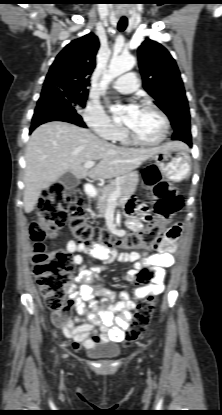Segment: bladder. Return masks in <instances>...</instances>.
<instances>
[{"label": "bladder", "instance_id": "1", "mask_svg": "<svg viewBox=\"0 0 222 415\" xmlns=\"http://www.w3.org/2000/svg\"><path fill=\"white\" fill-rule=\"evenodd\" d=\"M121 348L117 345H102L90 348L87 354L97 359H112L121 355Z\"/></svg>", "mask_w": 222, "mask_h": 415}]
</instances>
